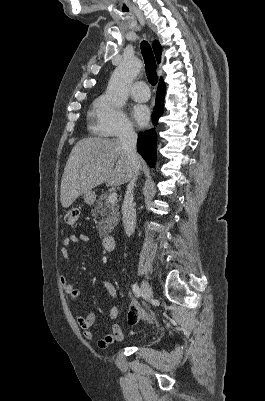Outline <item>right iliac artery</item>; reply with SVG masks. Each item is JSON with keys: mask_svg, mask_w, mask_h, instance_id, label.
<instances>
[{"mask_svg": "<svg viewBox=\"0 0 265 401\" xmlns=\"http://www.w3.org/2000/svg\"><path fill=\"white\" fill-rule=\"evenodd\" d=\"M132 290L137 298H139L142 295V290L139 288L137 284L132 285Z\"/></svg>", "mask_w": 265, "mask_h": 401, "instance_id": "82829eb1", "label": "right iliac artery"}]
</instances>
